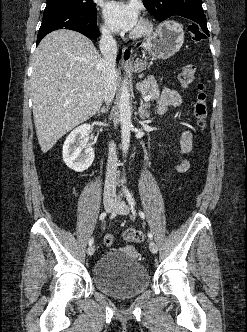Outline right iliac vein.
<instances>
[{"label":"right iliac vein","mask_w":247,"mask_h":332,"mask_svg":"<svg viewBox=\"0 0 247 332\" xmlns=\"http://www.w3.org/2000/svg\"><path fill=\"white\" fill-rule=\"evenodd\" d=\"M104 207H105V210L107 212H111L113 209H114V201L111 200V199H106L104 201ZM95 252V246H90L88 249H87V254L89 256L93 255Z\"/></svg>","instance_id":"1"}]
</instances>
